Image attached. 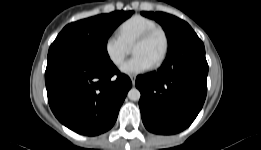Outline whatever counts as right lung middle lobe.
Here are the masks:
<instances>
[{"mask_svg":"<svg viewBox=\"0 0 261 150\" xmlns=\"http://www.w3.org/2000/svg\"><path fill=\"white\" fill-rule=\"evenodd\" d=\"M132 11H115L68 24L51 44L47 61L68 59L87 63L110 61L107 41Z\"/></svg>","mask_w":261,"mask_h":150,"instance_id":"right-lung-middle-lobe-1","label":"right lung middle lobe"}]
</instances>
